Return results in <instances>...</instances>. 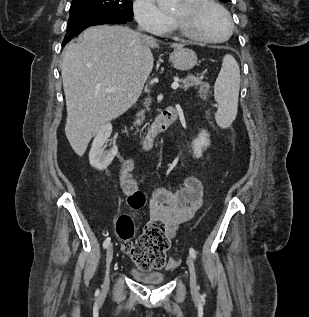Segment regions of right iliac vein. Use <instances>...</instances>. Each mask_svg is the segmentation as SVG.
Returning a JSON list of instances; mask_svg holds the SVG:
<instances>
[{
    "label": "right iliac vein",
    "instance_id": "obj_1",
    "mask_svg": "<svg viewBox=\"0 0 309 317\" xmlns=\"http://www.w3.org/2000/svg\"><path fill=\"white\" fill-rule=\"evenodd\" d=\"M113 245L110 244L107 247V251H106V271H105V278H104V283H103V288L106 290L109 287V270H110V264L112 262L113 259Z\"/></svg>",
    "mask_w": 309,
    "mask_h": 317
}]
</instances>
